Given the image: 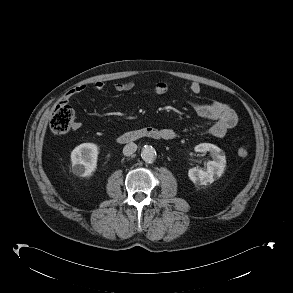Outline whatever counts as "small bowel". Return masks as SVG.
<instances>
[{"label":"small bowel","instance_id":"c3829d8e","mask_svg":"<svg viewBox=\"0 0 293 293\" xmlns=\"http://www.w3.org/2000/svg\"><path fill=\"white\" fill-rule=\"evenodd\" d=\"M96 90H103L105 83L97 81L93 84ZM134 87L132 82H119L114 85L115 91L122 93L131 90ZM153 92L157 95L166 93L169 89V83L166 81H156L153 84ZM86 90L85 85H79L69 90L63 97L61 102H68L74 96L83 93ZM191 93L198 95L201 92V85L198 82H192L189 86ZM191 108L201 117L210 119L213 124L208 128L207 133L214 137H223L230 129L234 128L238 122L235 111L227 104L220 101H211L210 103H200L191 101ZM81 127L79 122H75L72 126L74 130ZM162 131L170 137L176 136V132L172 129H162Z\"/></svg>","mask_w":293,"mask_h":293}]
</instances>
